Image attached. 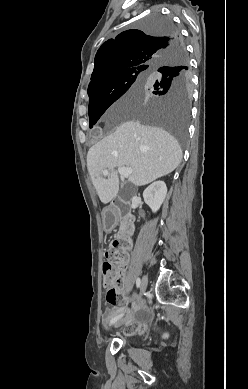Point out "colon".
Returning <instances> with one entry per match:
<instances>
[{
    "instance_id": "colon-1",
    "label": "colon",
    "mask_w": 248,
    "mask_h": 389,
    "mask_svg": "<svg viewBox=\"0 0 248 389\" xmlns=\"http://www.w3.org/2000/svg\"><path fill=\"white\" fill-rule=\"evenodd\" d=\"M127 244L122 241L114 240L106 250V260L103 263L104 290L106 300L110 304H117L119 301V289L122 285L123 273L120 264L126 258ZM120 311H127V306H120ZM123 333L139 332L140 328L135 326H123Z\"/></svg>"
}]
</instances>
